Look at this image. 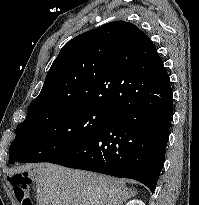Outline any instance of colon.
Returning a JSON list of instances; mask_svg holds the SVG:
<instances>
[{"label": "colon", "instance_id": "5ec220e1", "mask_svg": "<svg viewBox=\"0 0 199 205\" xmlns=\"http://www.w3.org/2000/svg\"><path fill=\"white\" fill-rule=\"evenodd\" d=\"M14 194L21 205H32L31 200L26 194L30 183V176L26 173L14 174L10 178Z\"/></svg>", "mask_w": 199, "mask_h": 205}]
</instances>
